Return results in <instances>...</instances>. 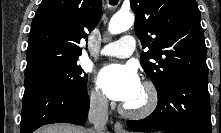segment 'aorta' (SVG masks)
<instances>
[{
    "mask_svg": "<svg viewBox=\"0 0 221 133\" xmlns=\"http://www.w3.org/2000/svg\"><path fill=\"white\" fill-rule=\"evenodd\" d=\"M134 15L128 13H116L110 20L108 30L111 34L122 33L132 27Z\"/></svg>",
    "mask_w": 221,
    "mask_h": 133,
    "instance_id": "obj_1",
    "label": "aorta"
}]
</instances>
